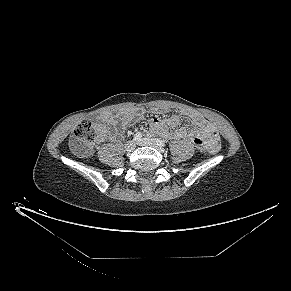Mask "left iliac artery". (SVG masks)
Segmentation results:
<instances>
[{
    "instance_id": "1",
    "label": "left iliac artery",
    "mask_w": 291,
    "mask_h": 291,
    "mask_svg": "<svg viewBox=\"0 0 291 291\" xmlns=\"http://www.w3.org/2000/svg\"><path fill=\"white\" fill-rule=\"evenodd\" d=\"M155 142L158 144V145H160V146H165V142L163 141V140H161V139H159V138H156L155 139Z\"/></svg>"
}]
</instances>
